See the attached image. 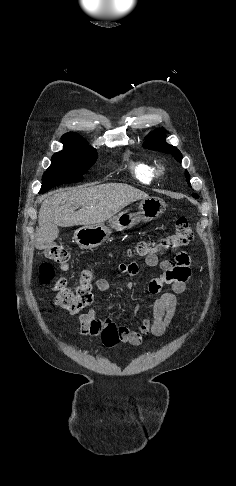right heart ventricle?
I'll use <instances>...</instances> for the list:
<instances>
[{
  "label": "right heart ventricle",
  "instance_id": "obj_1",
  "mask_svg": "<svg viewBox=\"0 0 236 486\" xmlns=\"http://www.w3.org/2000/svg\"><path fill=\"white\" fill-rule=\"evenodd\" d=\"M131 171L133 176L144 184H149L157 177L156 166L149 161H137L132 164Z\"/></svg>",
  "mask_w": 236,
  "mask_h": 486
}]
</instances>
